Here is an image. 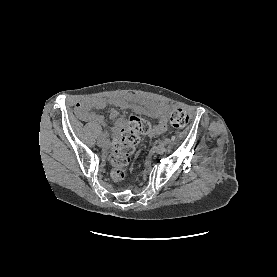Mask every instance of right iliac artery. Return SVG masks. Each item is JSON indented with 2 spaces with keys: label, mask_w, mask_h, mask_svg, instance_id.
Segmentation results:
<instances>
[{
  "label": "right iliac artery",
  "mask_w": 277,
  "mask_h": 277,
  "mask_svg": "<svg viewBox=\"0 0 277 277\" xmlns=\"http://www.w3.org/2000/svg\"><path fill=\"white\" fill-rule=\"evenodd\" d=\"M106 136H107V133H105V132H102L99 135L100 138H106Z\"/></svg>",
  "instance_id": "1"
}]
</instances>
